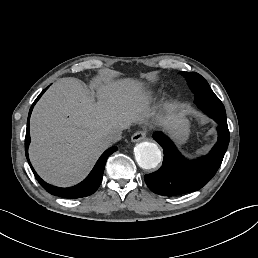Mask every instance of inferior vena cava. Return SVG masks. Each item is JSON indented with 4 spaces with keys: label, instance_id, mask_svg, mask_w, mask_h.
<instances>
[{
    "label": "inferior vena cava",
    "instance_id": "obj_1",
    "mask_svg": "<svg viewBox=\"0 0 258 258\" xmlns=\"http://www.w3.org/2000/svg\"><path fill=\"white\" fill-rule=\"evenodd\" d=\"M121 130L112 129L107 133V140L110 142H117L121 139Z\"/></svg>",
    "mask_w": 258,
    "mask_h": 258
}]
</instances>
